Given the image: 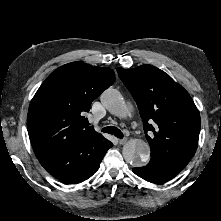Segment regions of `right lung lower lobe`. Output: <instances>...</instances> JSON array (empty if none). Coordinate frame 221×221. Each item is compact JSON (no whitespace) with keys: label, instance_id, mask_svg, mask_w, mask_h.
I'll return each instance as SVG.
<instances>
[{"label":"right lung lower lobe","instance_id":"obj_1","mask_svg":"<svg viewBox=\"0 0 221 221\" xmlns=\"http://www.w3.org/2000/svg\"><path fill=\"white\" fill-rule=\"evenodd\" d=\"M112 146L103 136H92L64 146L38 160L58 180L77 184L87 180L98 170L105 153Z\"/></svg>","mask_w":221,"mask_h":221}]
</instances>
